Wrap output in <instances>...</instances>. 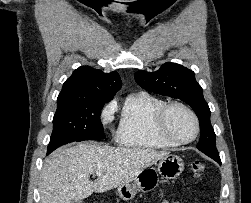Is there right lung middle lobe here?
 <instances>
[{
    "mask_svg": "<svg viewBox=\"0 0 251 203\" xmlns=\"http://www.w3.org/2000/svg\"><path fill=\"white\" fill-rule=\"evenodd\" d=\"M108 101H81L57 107L47 155L57 147L74 142L105 139L100 120L101 109Z\"/></svg>",
    "mask_w": 251,
    "mask_h": 203,
    "instance_id": "obj_1",
    "label": "right lung middle lobe"
}]
</instances>
